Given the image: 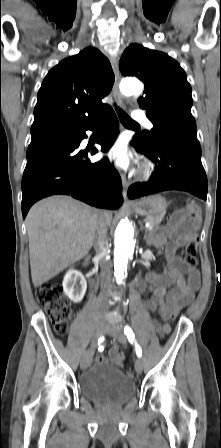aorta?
Segmentation results:
<instances>
[{
    "instance_id": "aorta-1",
    "label": "aorta",
    "mask_w": 221,
    "mask_h": 448,
    "mask_svg": "<svg viewBox=\"0 0 221 448\" xmlns=\"http://www.w3.org/2000/svg\"><path fill=\"white\" fill-rule=\"evenodd\" d=\"M142 88V83L137 79H125L120 84V91L124 95L137 97ZM134 249V228L127 220H122L114 235V274L118 284L125 278L128 263L133 259Z\"/></svg>"
}]
</instances>
